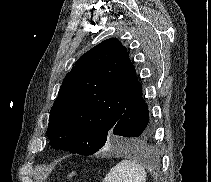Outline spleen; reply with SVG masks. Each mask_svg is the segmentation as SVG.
<instances>
[{
    "label": "spleen",
    "instance_id": "spleen-1",
    "mask_svg": "<svg viewBox=\"0 0 211 182\" xmlns=\"http://www.w3.org/2000/svg\"><path fill=\"white\" fill-rule=\"evenodd\" d=\"M103 182H146V172L135 160H123L110 169Z\"/></svg>",
    "mask_w": 211,
    "mask_h": 182
}]
</instances>
